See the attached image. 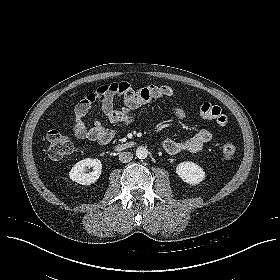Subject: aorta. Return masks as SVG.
<instances>
[{
	"label": "aorta",
	"mask_w": 280,
	"mask_h": 280,
	"mask_svg": "<svg viewBox=\"0 0 280 280\" xmlns=\"http://www.w3.org/2000/svg\"><path fill=\"white\" fill-rule=\"evenodd\" d=\"M149 154V151L146 147L144 146H140L136 149V156L139 158V159H145L147 158Z\"/></svg>",
	"instance_id": "obj_1"
}]
</instances>
